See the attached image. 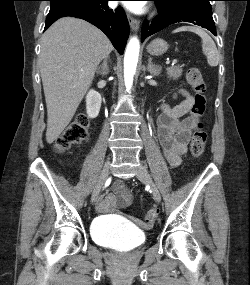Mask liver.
I'll return each mask as SVG.
<instances>
[{
	"label": "liver",
	"instance_id": "obj_1",
	"mask_svg": "<svg viewBox=\"0 0 250 285\" xmlns=\"http://www.w3.org/2000/svg\"><path fill=\"white\" fill-rule=\"evenodd\" d=\"M112 50L106 35L81 19L61 18L43 34L38 62L47 106V143L70 123L97 66Z\"/></svg>",
	"mask_w": 250,
	"mask_h": 285
}]
</instances>
